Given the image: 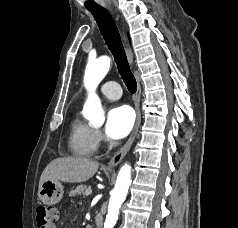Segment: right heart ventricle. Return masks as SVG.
I'll use <instances>...</instances> for the list:
<instances>
[{
    "label": "right heart ventricle",
    "instance_id": "e07e8e85",
    "mask_svg": "<svg viewBox=\"0 0 238 228\" xmlns=\"http://www.w3.org/2000/svg\"><path fill=\"white\" fill-rule=\"evenodd\" d=\"M70 151L77 156H92L96 153L98 142L95 130L78 114H74L70 121L68 141Z\"/></svg>",
    "mask_w": 238,
    "mask_h": 228
}]
</instances>
